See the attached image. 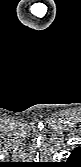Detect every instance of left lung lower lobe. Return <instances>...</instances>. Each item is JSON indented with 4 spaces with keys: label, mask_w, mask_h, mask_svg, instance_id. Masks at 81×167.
Here are the masks:
<instances>
[{
    "label": "left lung lower lobe",
    "mask_w": 81,
    "mask_h": 167,
    "mask_svg": "<svg viewBox=\"0 0 81 167\" xmlns=\"http://www.w3.org/2000/svg\"><path fill=\"white\" fill-rule=\"evenodd\" d=\"M80 152V148H76L75 150H73L68 158L69 163L79 160Z\"/></svg>",
    "instance_id": "0a47b994"
}]
</instances>
